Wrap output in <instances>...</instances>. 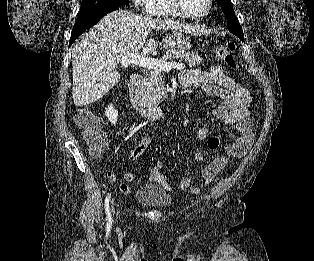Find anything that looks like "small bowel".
Instances as JSON below:
<instances>
[{"label": "small bowel", "mask_w": 314, "mask_h": 261, "mask_svg": "<svg viewBox=\"0 0 314 261\" xmlns=\"http://www.w3.org/2000/svg\"><path fill=\"white\" fill-rule=\"evenodd\" d=\"M179 80L184 87H197L204 97L219 100V103L213 109L215 120L225 125H234L240 133V137L228 150L229 156L236 158L244 156L250 149L254 138L249 110L251 102L249 91L238 82L234 75L219 66L184 71L180 74ZM209 130V126L196 130L192 134V139L195 141L204 140ZM150 143V133L144 132L139 143L130 152L128 162L133 163L136 161L149 147ZM229 156L216 157L202 168L201 176L206 185L215 180L228 163ZM194 159L202 161L204 156L195 154ZM164 166L163 160L156 161L150 170V179L169 192L171 191V185L162 173ZM107 177L111 181H115L117 178L113 171H108ZM124 178L126 182L131 183L135 180V174L132 171H127ZM180 187L183 191L200 192L199 188L192 186L189 177L183 178ZM119 189L123 194L128 195L131 193L130 187L125 182H120Z\"/></svg>", "instance_id": "small-bowel-1"}]
</instances>
